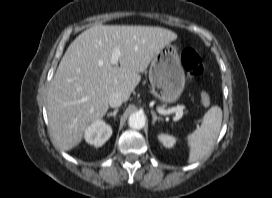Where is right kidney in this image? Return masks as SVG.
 Instances as JSON below:
<instances>
[{
    "instance_id": "obj_1",
    "label": "right kidney",
    "mask_w": 272,
    "mask_h": 198,
    "mask_svg": "<svg viewBox=\"0 0 272 198\" xmlns=\"http://www.w3.org/2000/svg\"><path fill=\"white\" fill-rule=\"evenodd\" d=\"M112 135V128L103 120H97L85 130V140L95 147H101Z\"/></svg>"
}]
</instances>
